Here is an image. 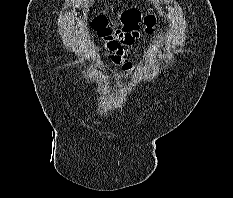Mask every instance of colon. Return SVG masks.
I'll return each mask as SVG.
<instances>
[{"instance_id": "obj_1", "label": "colon", "mask_w": 233, "mask_h": 198, "mask_svg": "<svg viewBox=\"0 0 233 198\" xmlns=\"http://www.w3.org/2000/svg\"><path fill=\"white\" fill-rule=\"evenodd\" d=\"M155 25L156 20L154 16H143L140 11L135 9L124 11L113 26H110L108 19L104 16L96 17L92 23L94 31L102 39L110 36L115 31L139 33L141 29H144L146 33H150Z\"/></svg>"}]
</instances>
